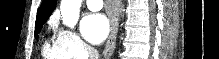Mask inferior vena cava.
Listing matches in <instances>:
<instances>
[{"mask_svg":"<svg viewBox=\"0 0 219 59\" xmlns=\"http://www.w3.org/2000/svg\"><path fill=\"white\" fill-rule=\"evenodd\" d=\"M89 54H90V59H99V52L95 48L90 47Z\"/></svg>","mask_w":219,"mask_h":59,"instance_id":"1","label":"inferior vena cava"}]
</instances>
